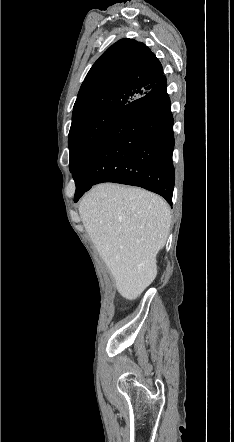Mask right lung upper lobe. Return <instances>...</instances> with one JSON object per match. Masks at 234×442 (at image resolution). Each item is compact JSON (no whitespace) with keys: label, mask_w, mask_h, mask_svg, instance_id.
<instances>
[{"label":"right lung upper lobe","mask_w":234,"mask_h":442,"mask_svg":"<svg viewBox=\"0 0 234 442\" xmlns=\"http://www.w3.org/2000/svg\"><path fill=\"white\" fill-rule=\"evenodd\" d=\"M162 76L161 63L145 44L121 39L88 72L74 104L72 121L98 111L120 109L150 91Z\"/></svg>","instance_id":"cb5924a9"}]
</instances>
